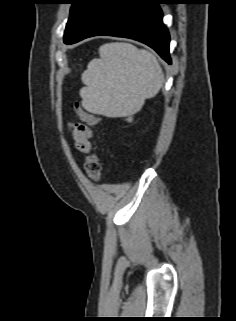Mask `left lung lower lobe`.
<instances>
[{"label":"left lung lower lobe","instance_id":"0a47b994","mask_svg":"<svg viewBox=\"0 0 236 321\" xmlns=\"http://www.w3.org/2000/svg\"><path fill=\"white\" fill-rule=\"evenodd\" d=\"M165 0H96L78 32L66 44L97 35L131 38L153 48L167 63L170 36L159 4Z\"/></svg>","mask_w":236,"mask_h":321}]
</instances>
